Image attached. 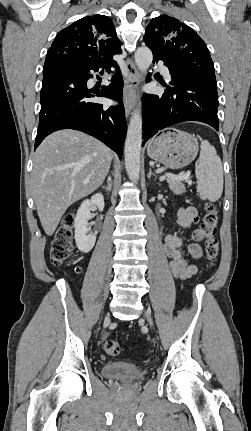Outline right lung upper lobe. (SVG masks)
Wrapping results in <instances>:
<instances>
[{"mask_svg": "<svg viewBox=\"0 0 251 431\" xmlns=\"http://www.w3.org/2000/svg\"><path fill=\"white\" fill-rule=\"evenodd\" d=\"M121 52V42L116 37L112 20L105 15H93L74 22L57 34L45 64L67 55L81 63L108 69L117 64L113 55Z\"/></svg>", "mask_w": 251, "mask_h": 431, "instance_id": "right-lung-upper-lobe-1", "label": "right lung upper lobe"}]
</instances>
